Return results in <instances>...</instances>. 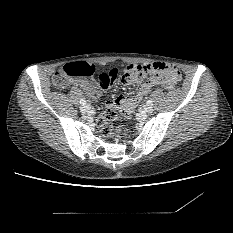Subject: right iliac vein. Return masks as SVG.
<instances>
[{
	"label": "right iliac vein",
	"mask_w": 233,
	"mask_h": 233,
	"mask_svg": "<svg viewBox=\"0 0 233 233\" xmlns=\"http://www.w3.org/2000/svg\"><path fill=\"white\" fill-rule=\"evenodd\" d=\"M80 110L82 113H88L91 110V107L86 104V105L81 106Z\"/></svg>",
	"instance_id": "right-iliac-vein-1"
}]
</instances>
